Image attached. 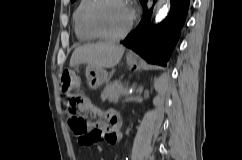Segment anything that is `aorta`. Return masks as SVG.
I'll return each instance as SVG.
<instances>
[{
	"label": "aorta",
	"mask_w": 242,
	"mask_h": 160,
	"mask_svg": "<svg viewBox=\"0 0 242 160\" xmlns=\"http://www.w3.org/2000/svg\"><path fill=\"white\" fill-rule=\"evenodd\" d=\"M169 6V0H158L155 11V21L158 22L161 20L162 16L166 13Z\"/></svg>",
	"instance_id": "aorta-1"
}]
</instances>
